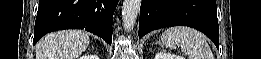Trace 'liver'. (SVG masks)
Wrapping results in <instances>:
<instances>
[{"mask_svg": "<svg viewBox=\"0 0 261 59\" xmlns=\"http://www.w3.org/2000/svg\"><path fill=\"white\" fill-rule=\"evenodd\" d=\"M88 33L63 30L44 36L36 44V59H77L88 47Z\"/></svg>", "mask_w": 261, "mask_h": 59, "instance_id": "liver-1", "label": "liver"}]
</instances>
